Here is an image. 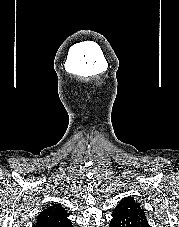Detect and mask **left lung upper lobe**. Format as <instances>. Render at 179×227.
I'll use <instances>...</instances> for the list:
<instances>
[{
  "instance_id": "1",
  "label": "left lung upper lobe",
  "mask_w": 179,
  "mask_h": 227,
  "mask_svg": "<svg viewBox=\"0 0 179 227\" xmlns=\"http://www.w3.org/2000/svg\"><path fill=\"white\" fill-rule=\"evenodd\" d=\"M112 217L114 227H149L144 210L131 197H124L119 202Z\"/></svg>"
}]
</instances>
